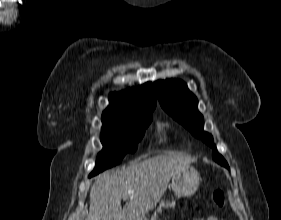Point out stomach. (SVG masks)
Instances as JSON below:
<instances>
[{
	"label": "stomach",
	"mask_w": 281,
	"mask_h": 220,
	"mask_svg": "<svg viewBox=\"0 0 281 220\" xmlns=\"http://www.w3.org/2000/svg\"><path fill=\"white\" fill-rule=\"evenodd\" d=\"M199 185L198 172L192 167L183 168L172 176L171 187L176 195L191 196Z\"/></svg>",
	"instance_id": "obj_1"
}]
</instances>
